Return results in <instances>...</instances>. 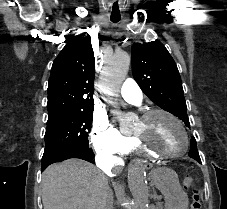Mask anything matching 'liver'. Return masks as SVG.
Listing matches in <instances>:
<instances>
[{
  "label": "liver",
  "mask_w": 227,
  "mask_h": 209,
  "mask_svg": "<svg viewBox=\"0 0 227 209\" xmlns=\"http://www.w3.org/2000/svg\"><path fill=\"white\" fill-rule=\"evenodd\" d=\"M108 189L106 175L81 159L50 165L42 175L44 209H105Z\"/></svg>",
  "instance_id": "6515ba94"
}]
</instances>
